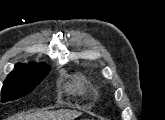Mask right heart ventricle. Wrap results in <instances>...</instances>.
Returning a JSON list of instances; mask_svg holds the SVG:
<instances>
[{
  "label": "right heart ventricle",
  "mask_w": 165,
  "mask_h": 120,
  "mask_svg": "<svg viewBox=\"0 0 165 120\" xmlns=\"http://www.w3.org/2000/svg\"><path fill=\"white\" fill-rule=\"evenodd\" d=\"M87 89V82L82 77L75 78L68 86V90L73 93H84Z\"/></svg>",
  "instance_id": "e07e8e85"
}]
</instances>
